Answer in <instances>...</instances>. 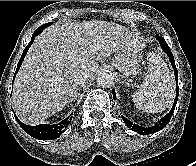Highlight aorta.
<instances>
[{
	"instance_id": "aorta-1",
	"label": "aorta",
	"mask_w": 196,
	"mask_h": 166,
	"mask_svg": "<svg viewBox=\"0 0 196 166\" xmlns=\"http://www.w3.org/2000/svg\"><path fill=\"white\" fill-rule=\"evenodd\" d=\"M114 83V76L111 72H100L97 77V84L101 87H110Z\"/></svg>"
}]
</instances>
